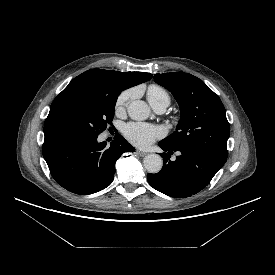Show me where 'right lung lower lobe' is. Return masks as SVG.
I'll use <instances>...</instances> for the list:
<instances>
[{
	"instance_id": "98d812e1",
	"label": "right lung lower lobe",
	"mask_w": 275,
	"mask_h": 275,
	"mask_svg": "<svg viewBox=\"0 0 275 275\" xmlns=\"http://www.w3.org/2000/svg\"><path fill=\"white\" fill-rule=\"evenodd\" d=\"M97 137L54 133L45 135L42 153L55 181L68 191L89 195L105 189L114 179L115 162L135 150L120 134L110 147Z\"/></svg>"
}]
</instances>
